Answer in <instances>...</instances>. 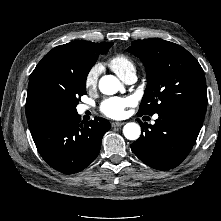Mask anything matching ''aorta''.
<instances>
[{"instance_id": "762f6f07", "label": "aorta", "mask_w": 221, "mask_h": 221, "mask_svg": "<svg viewBox=\"0 0 221 221\" xmlns=\"http://www.w3.org/2000/svg\"><path fill=\"white\" fill-rule=\"evenodd\" d=\"M121 82L113 75H105L99 81V90L106 95H113L121 89ZM123 134L129 140H137L141 128L137 123L129 122L123 127Z\"/></svg>"}]
</instances>
